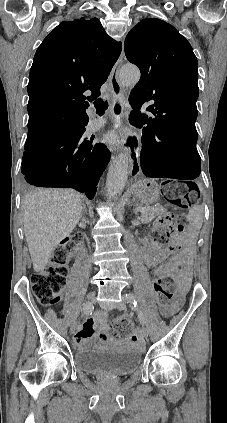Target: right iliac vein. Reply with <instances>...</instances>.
Masks as SVG:
<instances>
[{
    "mask_svg": "<svg viewBox=\"0 0 227 423\" xmlns=\"http://www.w3.org/2000/svg\"><path fill=\"white\" fill-rule=\"evenodd\" d=\"M95 296H96V292L95 291H91L88 295H87V298L89 299V300H93L94 298H95ZM75 330H76V321H74L73 323H72V325H71V332L74 334L75 333Z\"/></svg>",
    "mask_w": 227,
    "mask_h": 423,
    "instance_id": "right-iliac-vein-1",
    "label": "right iliac vein"
}]
</instances>
